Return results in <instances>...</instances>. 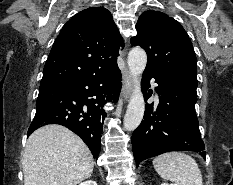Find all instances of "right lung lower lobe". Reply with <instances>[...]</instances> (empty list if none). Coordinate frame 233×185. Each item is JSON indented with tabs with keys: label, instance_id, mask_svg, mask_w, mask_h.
<instances>
[{
	"label": "right lung lower lobe",
	"instance_id": "1",
	"mask_svg": "<svg viewBox=\"0 0 233 185\" xmlns=\"http://www.w3.org/2000/svg\"><path fill=\"white\" fill-rule=\"evenodd\" d=\"M121 90L118 66L92 76L40 85L36 114L27 135L46 124H61L88 145L98 157L107 101L116 102Z\"/></svg>",
	"mask_w": 233,
	"mask_h": 185
}]
</instances>
